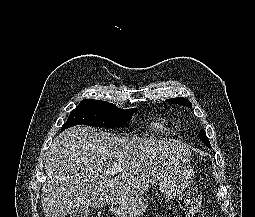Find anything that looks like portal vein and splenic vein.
<instances>
[{"label": "portal vein and splenic vein", "instance_id": "portal-vein-and-splenic-vein-1", "mask_svg": "<svg viewBox=\"0 0 255 217\" xmlns=\"http://www.w3.org/2000/svg\"><path fill=\"white\" fill-rule=\"evenodd\" d=\"M122 171V168H121V165H113L111 168H110V171L107 172V174L109 175H114L118 172H121Z\"/></svg>", "mask_w": 255, "mask_h": 217}]
</instances>
